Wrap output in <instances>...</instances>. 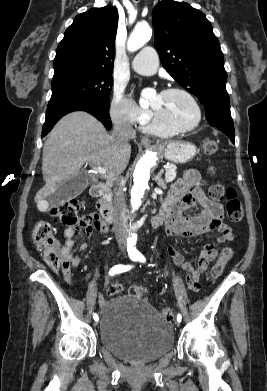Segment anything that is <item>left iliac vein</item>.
Segmentation results:
<instances>
[{
	"label": "left iliac vein",
	"instance_id": "4c4485c4",
	"mask_svg": "<svg viewBox=\"0 0 267 391\" xmlns=\"http://www.w3.org/2000/svg\"><path fill=\"white\" fill-rule=\"evenodd\" d=\"M176 325H177V326H180V322H179V321H176Z\"/></svg>",
	"mask_w": 267,
	"mask_h": 391
}]
</instances>
